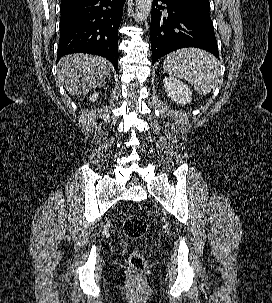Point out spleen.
Returning <instances> with one entry per match:
<instances>
[{
	"instance_id": "1",
	"label": "spleen",
	"mask_w": 272,
	"mask_h": 303,
	"mask_svg": "<svg viewBox=\"0 0 272 303\" xmlns=\"http://www.w3.org/2000/svg\"><path fill=\"white\" fill-rule=\"evenodd\" d=\"M166 73L190 83L201 95H207L219 81L218 60L210 53L186 48L168 54L163 62Z\"/></svg>"
}]
</instances>
